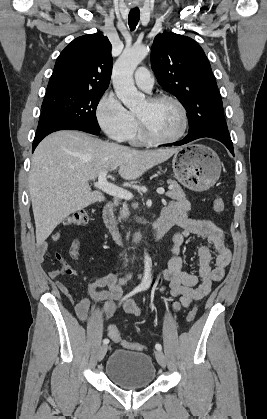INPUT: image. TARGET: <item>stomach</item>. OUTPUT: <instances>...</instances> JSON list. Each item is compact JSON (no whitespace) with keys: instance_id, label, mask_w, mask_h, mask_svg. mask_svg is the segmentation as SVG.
I'll return each mask as SVG.
<instances>
[{"instance_id":"1","label":"stomach","mask_w":267,"mask_h":419,"mask_svg":"<svg viewBox=\"0 0 267 419\" xmlns=\"http://www.w3.org/2000/svg\"><path fill=\"white\" fill-rule=\"evenodd\" d=\"M175 178L186 188L201 192L211 188L221 173V162L214 150L202 144L179 148L172 159Z\"/></svg>"}]
</instances>
